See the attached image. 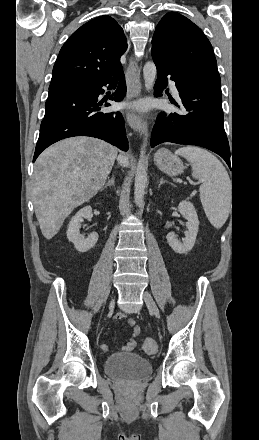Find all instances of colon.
<instances>
[{"label":"colon","instance_id":"1","mask_svg":"<svg viewBox=\"0 0 259 440\" xmlns=\"http://www.w3.org/2000/svg\"><path fill=\"white\" fill-rule=\"evenodd\" d=\"M158 342L154 338H146L143 341L142 349L146 354H155L158 351Z\"/></svg>","mask_w":259,"mask_h":440}]
</instances>
